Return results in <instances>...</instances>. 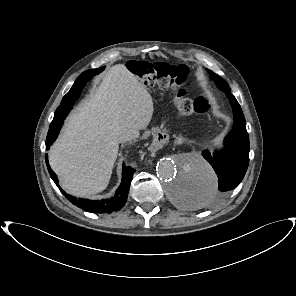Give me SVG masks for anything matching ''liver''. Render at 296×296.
Returning a JSON list of instances; mask_svg holds the SVG:
<instances>
[{
    "label": "liver",
    "mask_w": 296,
    "mask_h": 296,
    "mask_svg": "<svg viewBox=\"0 0 296 296\" xmlns=\"http://www.w3.org/2000/svg\"><path fill=\"white\" fill-rule=\"evenodd\" d=\"M153 112L152 97L137 76L123 64L112 66L99 87L69 116L50 149V166L62 188L76 196L103 191L118 155L119 137L132 131L139 136Z\"/></svg>",
    "instance_id": "6515ba94"
}]
</instances>
